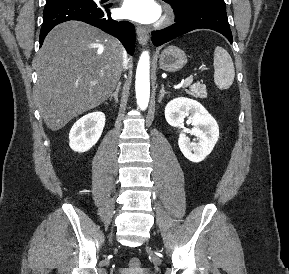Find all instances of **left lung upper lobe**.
<instances>
[{"instance_id": "5c2ea615", "label": "left lung upper lobe", "mask_w": 289, "mask_h": 274, "mask_svg": "<svg viewBox=\"0 0 289 274\" xmlns=\"http://www.w3.org/2000/svg\"><path fill=\"white\" fill-rule=\"evenodd\" d=\"M171 5L175 18L180 20L201 9L225 10L224 0H163Z\"/></svg>"}]
</instances>
